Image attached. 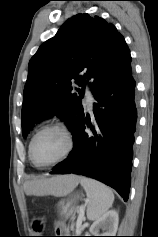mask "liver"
<instances>
[{
  "label": "liver",
  "instance_id": "obj_1",
  "mask_svg": "<svg viewBox=\"0 0 158 237\" xmlns=\"http://www.w3.org/2000/svg\"><path fill=\"white\" fill-rule=\"evenodd\" d=\"M81 177L77 175H61L51 178H36L24 183V190L27 195H54L59 196L74 189Z\"/></svg>",
  "mask_w": 158,
  "mask_h": 237
}]
</instances>
